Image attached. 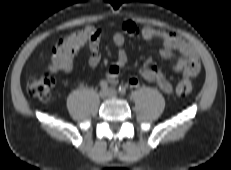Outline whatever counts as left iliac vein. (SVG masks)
Returning a JSON list of instances; mask_svg holds the SVG:
<instances>
[{
	"label": "left iliac vein",
	"instance_id": "obj_1",
	"mask_svg": "<svg viewBox=\"0 0 231 170\" xmlns=\"http://www.w3.org/2000/svg\"><path fill=\"white\" fill-rule=\"evenodd\" d=\"M109 97L115 98L117 96V91L113 88H109L108 90Z\"/></svg>",
	"mask_w": 231,
	"mask_h": 170
}]
</instances>
